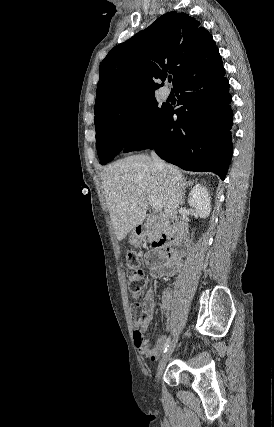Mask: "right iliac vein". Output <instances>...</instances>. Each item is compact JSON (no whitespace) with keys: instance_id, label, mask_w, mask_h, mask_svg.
<instances>
[{"instance_id":"63e3f726","label":"right iliac vein","mask_w":274,"mask_h":427,"mask_svg":"<svg viewBox=\"0 0 274 427\" xmlns=\"http://www.w3.org/2000/svg\"><path fill=\"white\" fill-rule=\"evenodd\" d=\"M178 339H179V335L177 334V335H175V337H174L172 343L170 344L169 348L167 349L166 353L163 355V357L159 363L158 370L156 372V376H155L157 381H159V379L162 375L163 369L166 367V365H167V363H168V361H169V359H170V357H171V355H172V353L176 347Z\"/></svg>"}]
</instances>
